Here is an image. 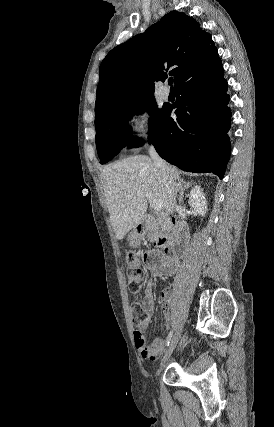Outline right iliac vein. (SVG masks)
<instances>
[{"label": "right iliac vein", "instance_id": "63e3f726", "mask_svg": "<svg viewBox=\"0 0 274 427\" xmlns=\"http://www.w3.org/2000/svg\"><path fill=\"white\" fill-rule=\"evenodd\" d=\"M181 333H182V328L180 327L176 333L174 334L171 344L168 347V349L166 350L162 361H161V368L164 367L167 363V361L170 359L174 349L178 346V344L181 342L182 337H181Z\"/></svg>", "mask_w": 274, "mask_h": 427}]
</instances>
